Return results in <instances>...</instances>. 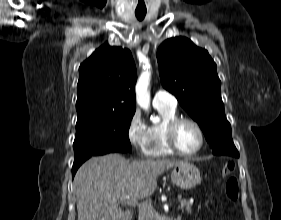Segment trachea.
<instances>
[{"instance_id":"1","label":"trachea","mask_w":281,"mask_h":220,"mask_svg":"<svg viewBox=\"0 0 281 220\" xmlns=\"http://www.w3.org/2000/svg\"><path fill=\"white\" fill-rule=\"evenodd\" d=\"M135 15L138 20H143L146 15V10H136Z\"/></svg>"}]
</instances>
